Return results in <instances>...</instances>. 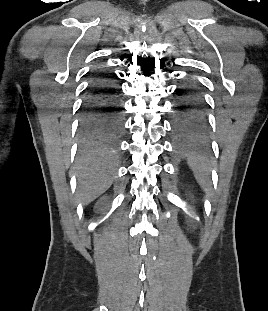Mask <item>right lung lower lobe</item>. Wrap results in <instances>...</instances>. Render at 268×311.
Wrapping results in <instances>:
<instances>
[{"instance_id":"right-lung-lower-lobe-1","label":"right lung lower lobe","mask_w":268,"mask_h":311,"mask_svg":"<svg viewBox=\"0 0 268 311\" xmlns=\"http://www.w3.org/2000/svg\"><path fill=\"white\" fill-rule=\"evenodd\" d=\"M122 101L109 76L96 78L85 96L80 132L86 140H116L123 131Z\"/></svg>"}]
</instances>
